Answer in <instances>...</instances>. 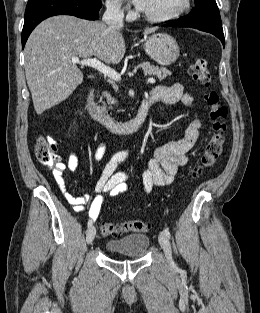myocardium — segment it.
<instances>
[{
    "label": "myocardium",
    "instance_id": "obj_1",
    "mask_svg": "<svg viewBox=\"0 0 260 313\" xmlns=\"http://www.w3.org/2000/svg\"><path fill=\"white\" fill-rule=\"evenodd\" d=\"M191 6V0H183L181 6L174 12L164 16H152L141 11L142 17L152 23H166L174 21L184 15Z\"/></svg>",
    "mask_w": 260,
    "mask_h": 313
}]
</instances>
